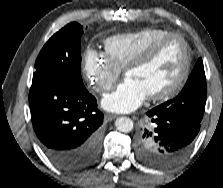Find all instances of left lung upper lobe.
I'll return each mask as SVG.
<instances>
[{
    "label": "left lung upper lobe",
    "instance_id": "left-lung-upper-lobe-1",
    "mask_svg": "<svg viewBox=\"0 0 223 188\" xmlns=\"http://www.w3.org/2000/svg\"><path fill=\"white\" fill-rule=\"evenodd\" d=\"M207 85L203 61L198 59L181 93L157 106L170 116L201 122L205 110Z\"/></svg>",
    "mask_w": 223,
    "mask_h": 188
}]
</instances>
